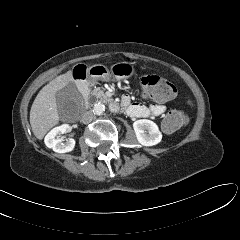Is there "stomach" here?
<instances>
[{
  "label": "stomach",
  "mask_w": 240,
  "mask_h": 240,
  "mask_svg": "<svg viewBox=\"0 0 240 240\" xmlns=\"http://www.w3.org/2000/svg\"><path fill=\"white\" fill-rule=\"evenodd\" d=\"M134 73V66L129 62H118L111 66L110 70L101 64L93 65L88 69L89 81L121 80L130 77Z\"/></svg>",
  "instance_id": "obj_1"
}]
</instances>
